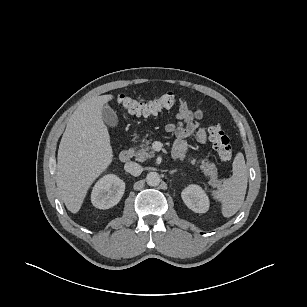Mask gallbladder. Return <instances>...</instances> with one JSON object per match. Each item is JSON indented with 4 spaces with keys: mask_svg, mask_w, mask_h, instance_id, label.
Segmentation results:
<instances>
[{
    "mask_svg": "<svg viewBox=\"0 0 307 307\" xmlns=\"http://www.w3.org/2000/svg\"><path fill=\"white\" fill-rule=\"evenodd\" d=\"M102 118L104 122L110 127H115L118 125V116L116 112L108 105L103 106Z\"/></svg>",
    "mask_w": 307,
    "mask_h": 307,
    "instance_id": "bac80fb5",
    "label": "gallbladder"
}]
</instances>
